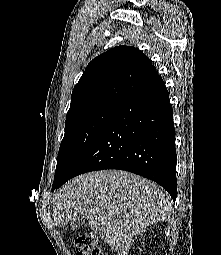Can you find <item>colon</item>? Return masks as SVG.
Here are the masks:
<instances>
[{
  "instance_id": "1",
  "label": "colon",
  "mask_w": 221,
  "mask_h": 255,
  "mask_svg": "<svg viewBox=\"0 0 221 255\" xmlns=\"http://www.w3.org/2000/svg\"><path fill=\"white\" fill-rule=\"evenodd\" d=\"M75 255H107L99 243L97 236L91 232H83L75 238Z\"/></svg>"
}]
</instances>
